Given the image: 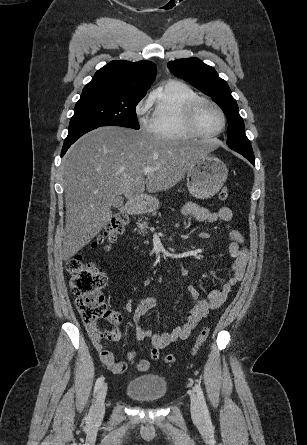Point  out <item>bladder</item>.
Masks as SVG:
<instances>
[{"label":"bladder","mask_w":307,"mask_h":445,"mask_svg":"<svg viewBox=\"0 0 307 445\" xmlns=\"http://www.w3.org/2000/svg\"><path fill=\"white\" fill-rule=\"evenodd\" d=\"M168 384L165 378L155 374H143L132 378L127 386V395L142 403H156L167 394Z\"/></svg>","instance_id":"31cf9c89"}]
</instances>
